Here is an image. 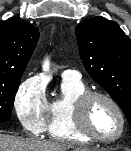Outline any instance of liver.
Segmentation results:
<instances>
[{
	"instance_id": "6515ba94",
	"label": "liver",
	"mask_w": 131,
	"mask_h": 151,
	"mask_svg": "<svg viewBox=\"0 0 131 151\" xmlns=\"http://www.w3.org/2000/svg\"><path fill=\"white\" fill-rule=\"evenodd\" d=\"M71 146L64 143L36 139H23L0 134V151H67ZM76 151L86 149L76 148Z\"/></svg>"
}]
</instances>
